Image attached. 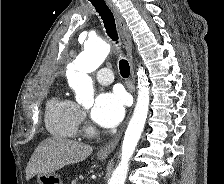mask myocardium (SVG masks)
Listing matches in <instances>:
<instances>
[{
  "label": "myocardium",
  "mask_w": 224,
  "mask_h": 184,
  "mask_svg": "<svg viewBox=\"0 0 224 184\" xmlns=\"http://www.w3.org/2000/svg\"><path fill=\"white\" fill-rule=\"evenodd\" d=\"M86 133L89 134V135H91V134H93V130L90 129V128H88V129H86Z\"/></svg>",
  "instance_id": "1"
}]
</instances>
